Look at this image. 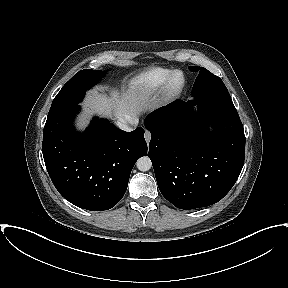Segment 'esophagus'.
<instances>
[{"label": "esophagus", "instance_id": "obj_1", "mask_svg": "<svg viewBox=\"0 0 288 288\" xmlns=\"http://www.w3.org/2000/svg\"><path fill=\"white\" fill-rule=\"evenodd\" d=\"M150 139H151V133L148 130H146L145 131V140H146V142L149 143Z\"/></svg>", "mask_w": 288, "mask_h": 288}]
</instances>
